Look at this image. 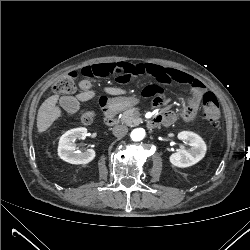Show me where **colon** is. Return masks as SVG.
<instances>
[{"label": "colon", "instance_id": "1", "mask_svg": "<svg viewBox=\"0 0 250 250\" xmlns=\"http://www.w3.org/2000/svg\"><path fill=\"white\" fill-rule=\"evenodd\" d=\"M148 71L144 65H131L127 63L117 64H101L89 67L85 71V75L92 78L110 79L119 82H129L134 77L142 74H146ZM77 81L74 73L67 74L58 84L55 86V90L61 94L72 95L76 92ZM162 91L156 88L154 91L148 93L149 96L156 98L159 92ZM163 92V91H162ZM203 114L208 121L210 130L213 135H218L221 131V117L219 104L216 97L211 93H205L202 96ZM85 122H90L92 116L89 112H84L83 117Z\"/></svg>", "mask_w": 250, "mask_h": 250}]
</instances>
